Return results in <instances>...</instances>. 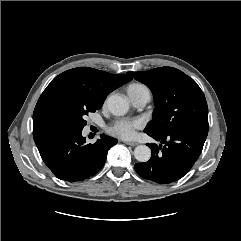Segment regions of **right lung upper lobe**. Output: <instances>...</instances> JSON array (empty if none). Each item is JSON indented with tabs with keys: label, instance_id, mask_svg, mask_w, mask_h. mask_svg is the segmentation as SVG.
<instances>
[{
	"label": "right lung upper lobe",
	"instance_id": "obj_1",
	"mask_svg": "<svg viewBox=\"0 0 241 241\" xmlns=\"http://www.w3.org/2000/svg\"><path fill=\"white\" fill-rule=\"evenodd\" d=\"M131 80L126 74L113 75L89 67L67 70L55 77L44 90L33 116L47 104L56 101L89 108L102 107L109 93Z\"/></svg>",
	"mask_w": 241,
	"mask_h": 241
}]
</instances>
